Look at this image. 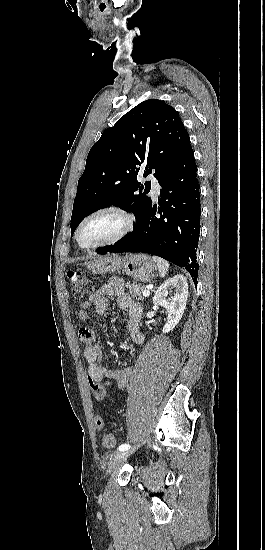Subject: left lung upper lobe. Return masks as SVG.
Listing matches in <instances>:
<instances>
[{"mask_svg": "<svg viewBox=\"0 0 265 550\" xmlns=\"http://www.w3.org/2000/svg\"><path fill=\"white\" fill-rule=\"evenodd\" d=\"M190 143L177 111L158 99L141 102L92 146L78 181L71 217V235L92 212L110 205L134 213L136 226L152 204L146 196L151 182L137 181L152 171L161 179L170 164Z\"/></svg>", "mask_w": 265, "mask_h": 550, "instance_id": "left-lung-upper-lobe-1", "label": "left lung upper lobe"}]
</instances>
